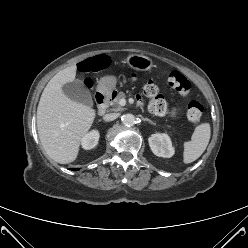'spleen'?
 <instances>
[{"instance_id": "1", "label": "spleen", "mask_w": 248, "mask_h": 248, "mask_svg": "<svg viewBox=\"0 0 248 248\" xmlns=\"http://www.w3.org/2000/svg\"><path fill=\"white\" fill-rule=\"evenodd\" d=\"M211 136V128L209 123L198 125L191 137V140L184 143V163H192L198 159L206 150Z\"/></svg>"}]
</instances>
